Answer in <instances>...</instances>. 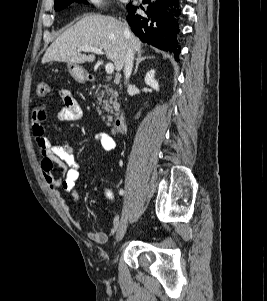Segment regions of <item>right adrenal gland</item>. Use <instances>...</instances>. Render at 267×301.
Here are the masks:
<instances>
[{"instance_id":"1","label":"right adrenal gland","mask_w":267,"mask_h":301,"mask_svg":"<svg viewBox=\"0 0 267 301\" xmlns=\"http://www.w3.org/2000/svg\"><path fill=\"white\" fill-rule=\"evenodd\" d=\"M155 57L154 56H148V55H143V52H138L137 53V59H136V67H135V70H134V73L133 74H136L137 71H138V67H139V64L145 60H150V59H154Z\"/></svg>"}]
</instances>
